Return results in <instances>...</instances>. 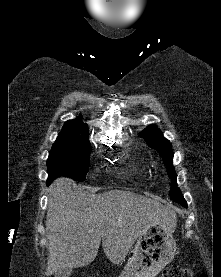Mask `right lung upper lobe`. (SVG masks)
<instances>
[{
  "label": "right lung upper lobe",
  "instance_id": "obj_1",
  "mask_svg": "<svg viewBox=\"0 0 221 277\" xmlns=\"http://www.w3.org/2000/svg\"><path fill=\"white\" fill-rule=\"evenodd\" d=\"M89 131L87 124H84L80 120H69L67 121L61 133L58 137L62 138H88Z\"/></svg>",
  "mask_w": 221,
  "mask_h": 277
}]
</instances>
